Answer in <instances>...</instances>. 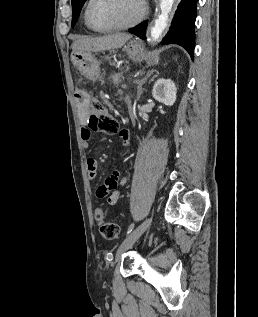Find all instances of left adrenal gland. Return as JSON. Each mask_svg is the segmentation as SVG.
Segmentation results:
<instances>
[{"label": "left adrenal gland", "mask_w": 258, "mask_h": 317, "mask_svg": "<svg viewBox=\"0 0 258 317\" xmlns=\"http://www.w3.org/2000/svg\"><path fill=\"white\" fill-rule=\"evenodd\" d=\"M154 70H148V72H146V76H144V78H142V80H138V90H137V100H139L141 94H142V84H144L145 80H147V78H149V76H151V74H153Z\"/></svg>", "instance_id": "1"}]
</instances>
